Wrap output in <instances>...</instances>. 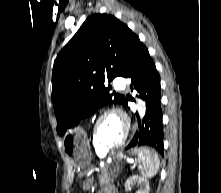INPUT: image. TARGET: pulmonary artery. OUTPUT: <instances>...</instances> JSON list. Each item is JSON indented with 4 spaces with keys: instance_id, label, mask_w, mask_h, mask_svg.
<instances>
[{
    "instance_id": "e3ab8cb5",
    "label": "pulmonary artery",
    "mask_w": 221,
    "mask_h": 193,
    "mask_svg": "<svg viewBox=\"0 0 221 193\" xmlns=\"http://www.w3.org/2000/svg\"><path fill=\"white\" fill-rule=\"evenodd\" d=\"M114 86H115V88L120 89V90L124 89L125 88V80L122 77H117L114 80Z\"/></svg>"
}]
</instances>
